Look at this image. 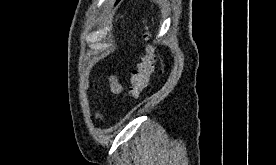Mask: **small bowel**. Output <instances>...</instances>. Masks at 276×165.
Segmentation results:
<instances>
[{
  "mask_svg": "<svg viewBox=\"0 0 276 165\" xmlns=\"http://www.w3.org/2000/svg\"><path fill=\"white\" fill-rule=\"evenodd\" d=\"M109 84H110L111 91L113 93L118 94L122 91V85L120 84L116 76H113V75L110 76Z\"/></svg>",
  "mask_w": 276,
  "mask_h": 165,
  "instance_id": "obj_1",
  "label": "small bowel"
}]
</instances>
